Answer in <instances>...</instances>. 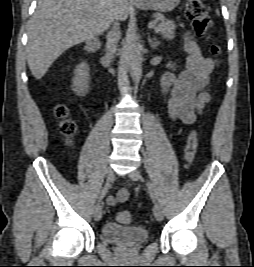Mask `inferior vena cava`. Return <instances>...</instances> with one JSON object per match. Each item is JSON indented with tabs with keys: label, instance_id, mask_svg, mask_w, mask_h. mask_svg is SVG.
I'll return each mask as SVG.
<instances>
[{
	"label": "inferior vena cava",
	"instance_id": "602c4592",
	"mask_svg": "<svg viewBox=\"0 0 254 267\" xmlns=\"http://www.w3.org/2000/svg\"><path fill=\"white\" fill-rule=\"evenodd\" d=\"M112 28L107 34L106 42V58L110 63L114 58V54L117 50V42L120 36V28L118 20H112Z\"/></svg>",
	"mask_w": 254,
	"mask_h": 267
}]
</instances>
